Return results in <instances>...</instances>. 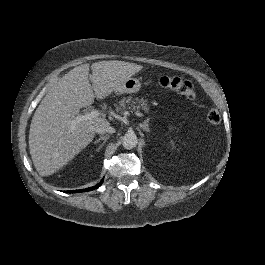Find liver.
Segmentation results:
<instances>
[{"instance_id": "obj_1", "label": "liver", "mask_w": 265, "mask_h": 265, "mask_svg": "<svg viewBox=\"0 0 265 265\" xmlns=\"http://www.w3.org/2000/svg\"><path fill=\"white\" fill-rule=\"evenodd\" d=\"M89 64L73 68L55 83L38 105L30 124L29 149L42 176L68 162L93 138L97 126L108 121L101 117L75 121L80 108L95 98L108 95L117 84L142 69L124 61L94 63L89 81Z\"/></svg>"}]
</instances>
